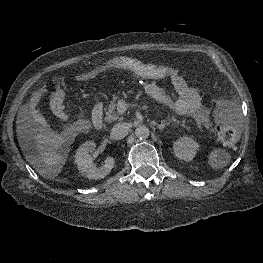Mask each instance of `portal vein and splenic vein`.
<instances>
[{
    "instance_id": "1",
    "label": "portal vein and splenic vein",
    "mask_w": 263,
    "mask_h": 263,
    "mask_svg": "<svg viewBox=\"0 0 263 263\" xmlns=\"http://www.w3.org/2000/svg\"><path fill=\"white\" fill-rule=\"evenodd\" d=\"M129 104H127L125 101L123 100H119L118 104H117V111L120 114H123L127 109H128ZM133 106V105H131Z\"/></svg>"
}]
</instances>
